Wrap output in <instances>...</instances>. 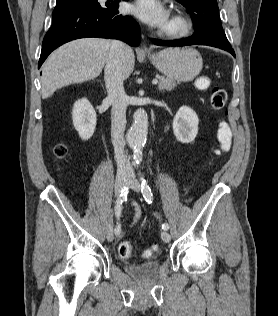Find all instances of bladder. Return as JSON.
<instances>
[{
    "label": "bladder",
    "mask_w": 278,
    "mask_h": 316,
    "mask_svg": "<svg viewBox=\"0 0 278 316\" xmlns=\"http://www.w3.org/2000/svg\"><path fill=\"white\" fill-rule=\"evenodd\" d=\"M124 269L137 278L153 277L159 269V261L156 259L148 260L140 264H126Z\"/></svg>",
    "instance_id": "obj_1"
}]
</instances>
